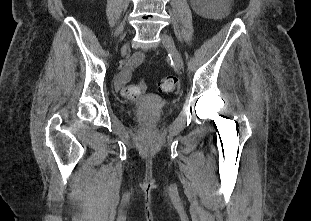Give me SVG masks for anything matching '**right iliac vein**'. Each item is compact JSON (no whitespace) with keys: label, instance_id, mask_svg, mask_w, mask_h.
<instances>
[{"label":"right iliac vein","instance_id":"right-iliac-vein-1","mask_svg":"<svg viewBox=\"0 0 311 221\" xmlns=\"http://www.w3.org/2000/svg\"><path fill=\"white\" fill-rule=\"evenodd\" d=\"M127 45H125L124 47H123V51H126V49H127Z\"/></svg>","mask_w":311,"mask_h":221}]
</instances>
